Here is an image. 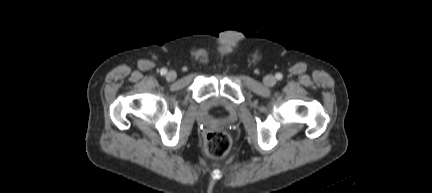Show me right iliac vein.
Returning <instances> with one entry per match:
<instances>
[{"label":"right iliac vein","mask_w":432,"mask_h":193,"mask_svg":"<svg viewBox=\"0 0 432 193\" xmlns=\"http://www.w3.org/2000/svg\"><path fill=\"white\" fill-rule=\"evenodd\" d=\"M176 77H177V74H176L175 71H170L166 75V78H167L168 81H173V80L176 79Z\"/></svg>","instance_id":"obj_1"}]
</instances>
